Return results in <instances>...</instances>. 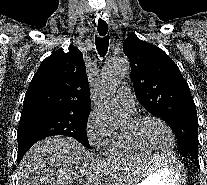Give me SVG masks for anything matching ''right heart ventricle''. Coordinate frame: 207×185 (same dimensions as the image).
<instances>
[{
	"mask_svg": "<svg viewBox=\"0 0 207 185\" xmlns=\"http://www.w3.org/2000/svg\"><path fill=\"white\" fill-rule=\"evenodd\" d=\"M105 157L116 163H130L147 160L144 156L134 152L127 145L124 134L114 132L112 138L104 147Z\"/></svg>",
	"mask_w": 207,
	"mask_h": 185,
	"instance_id": "e07e8e85",
	"label": "right heart ventricle"
}]
</instances>
